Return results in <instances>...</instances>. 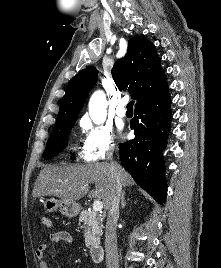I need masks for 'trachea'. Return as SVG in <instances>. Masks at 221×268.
<instances>
[{"label": "trachea", "mask_w": 221, "mask_h": 268, "mask_svg": "<svg viewBox=\"0 0 221 268\" xmlns=\"http://www.w3.org/2000/svg\"><path fill=\"white\" fill-rule=\"evenodd\" d=\"M134 105V101H130L127 105V109L132 110Z\"/></svg>", "instance_id": "3493384b"}]
</instances>
